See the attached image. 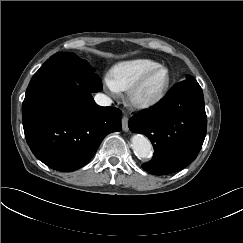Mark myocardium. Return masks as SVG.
<instances>
[{
    "label": "myocardium",
    "instance_id": "myocardium-1",
    "mask_svg": "<svg viewBox=\"0 0 243 243\" xmlns=\"http://www.w3.org/2000/svg\"><path fill=\"white\" fill-rule=\"evenodd\" d=\"M157 72L165 74L164 80L159 88L153 93L144 95L142 90L148 80ZM171 83L170 72L166 67L158 66L142 75L127 91L128 103L136 109H147L157 104L167 93Z\"/></svg>",
    "mask_w": 243,
    "mask_h": 243
}]
</instances>
